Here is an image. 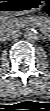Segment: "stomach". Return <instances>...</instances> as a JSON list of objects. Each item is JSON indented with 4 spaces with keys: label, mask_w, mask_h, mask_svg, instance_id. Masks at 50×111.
I'll return each instance as SVG.
<instances>
[{
    "label": "stomach",
    "mask_w": 50,
    "mask_h": 111,
    "mask_svg": "<svg viewBox=\"0 0 50 111\" xmlns=\"http://www.w3.org/2000/svg\"><path fill=\"white\" fill-rule=\"evenodd\" d=\"M44 0H7L3 2V13L7 16H18L40 10Z\"/></svg>",
    "instance_id": "obj_1"
}]
</instances>
